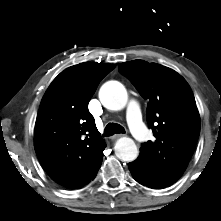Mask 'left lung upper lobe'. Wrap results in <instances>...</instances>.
Masks as SVG:
<instances>
[{
	"label": "left lung upper lobe",
	"instance_id": "1",
	"mask_svg": "<svg viewBox=\"0 0 221 221\" xmlns=\"http://www.w3.org/2000/svg\"><path fill=\"white\" fill-rule=\"evenodd\" d=\"M119 71L148 100L147 122L156 138L142 144L137 160L153 188L168 187L182 176L199 137L193 92L182 76L157 63L133 60Z\"/></svg>",
	"mask_w": 221,
	"mask_h": 221
}]
</instances>
